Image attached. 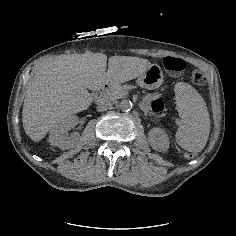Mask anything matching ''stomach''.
Instances as JSON below:
<instances>
[{"mask_svg":"<svg viewBox=\"0 0 236 236\" xmlns=\"http://www.w3.org/2000/svg\"><path fill=\"white\" fill-rule=\"evenodd\" d=\"M162 82L163 72L158 65H151L137 80L139 86L149 90L159 88Z\"/></svg>","mask_w":236,"mask_h":236,"instance_id":"stomach-1","label":"stomach"}]
</instances>
